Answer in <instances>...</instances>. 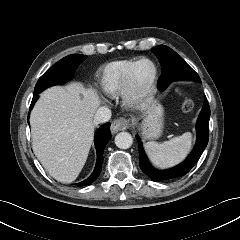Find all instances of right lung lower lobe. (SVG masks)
<instances>
[{"mask_svg":"<svg viewBox=\"0 0 240 240\" xmlns=\"http://www.w3.org/2000/svg\"><path fill=\"white\" fill-rule=\"evenodd\" d=\"M39 94V93H38ZM38 94L33 95V99L30 105V110L33 108L34 103L38 99ZM29 123V121H28ZM111 139V132H110V123L104 124L102 127H100L96 133L95 137V147L97 150V162L95 165V169L93 173L84 181L77 183L75 185L77 186H86L94 182L97 177L99 176L102 168V162H103V150L106 146V144Z\"/></svg>","mask_w":240,"mask_h":240,"instance_id":"obj_1","label":"right lung lower lobe"}]
</instances>
